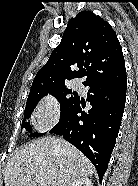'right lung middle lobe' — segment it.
<instances>
[{"mask_svg": "<svg viewBox=\"0 0 138 186\" xmlns=\"http://www.w3.org/2000/svg\"><path fill=\"white\" fill-rule=\"evenodd\" d=\"M47 94H51L55 96L56 98L59 99L61 102L60 108H61V118H63L73 107L74 105L78 102L79 98L74 95V96H69V94H72V90L68 89L66 86L63 87H57L41 92H36V93H30L28 98H27V103L26 107L24 110V120L22 122V128H25L28 132H32V129L30 127V124L28 122H25L26 118H29L31 116L32 111L34 110V107L38 103V101L46 96ZM60 118V119H61ZM43 135L42 133H32L30 136H40Z\"/></svg>", "mask_w": 138, "mask_h": 186, "instance_id": "right-lung-middle-lobe-1", "label": "right lung middle lobe"}]
</instances>
